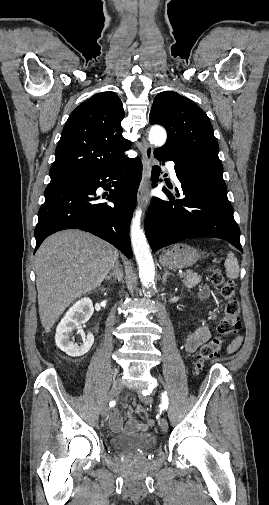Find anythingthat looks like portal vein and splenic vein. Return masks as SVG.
Masks as SVG:
<instances>
[{"mask_svg": "<svg viewBox=\"0 0 269 505\" xmlns=\"http://www.w3.org/2000/svg\"><path fill=\"white\" fill-rule=\"evenodd\" d=\"M184 276H185L184 274L180 275L181 278L184 277Z\"/></svg>", "mask_w": 269, "mask_h": 505, "instance_id": "obj_1", "label": "portal vein and splenic vein"}]
</instances>
